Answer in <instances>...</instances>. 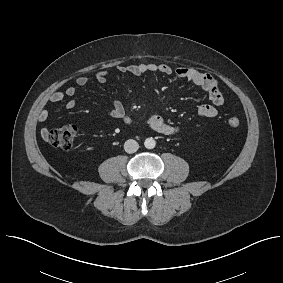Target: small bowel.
<instances>
[{
    "instance_id": "small-bowel-1",
    "label": "small bowel",
    "mask_w": 283,
    "mask_h": 283,
    "mask_svg": "<svg viewBox=\"0 0 283 283\" xmlns=\"http://www.w3.org/2000/svg\"><path fill=\"white\" fill-rule=\"evenodd\" d=\"M120 74H131L134 76H140L148 73H158L162 75H175L180 79L187 80L190 84L195 87L201 88L208 93L211 104H202L198 108V115L202 118H214L218 115V107L222 106L225 102V98L219 89V84L216 78L210 73L200 72L194 68L190 67H177L173 68L168 64H132L123 65L117 68ZM109 77V72L100 71L96 73L95 79L99 83H105ZM88 83V78L86 76H79L76 79V84L80 87L85 86ZM77 92L75 86H69L64 91H56L52 93L48 102L59 103L62 102L65 96L74 97ZM76 106V100L71 98L66 103V108L72 109ZM49 110L43 108L38 115V119L42 122L49 118ZM110 115L122 121L126 125H132V118L126 113L123 104L119 101H115L112 104ZM147 124L157 133L163 135H176L181 132V127L166 121L159 114H151L147 118ZM43 136L48 133L47 128L41 130Z\"/></svg>"
}]
</instances>
